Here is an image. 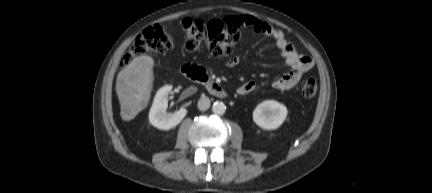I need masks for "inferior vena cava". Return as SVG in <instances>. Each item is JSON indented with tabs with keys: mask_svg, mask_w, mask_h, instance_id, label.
I'll use <instances>...</instances> for the list:
<instances>
[{
	"mask_svg": "<svg viewBox=\"0 0 432 193\" xmlns=\"http://www.w3.org/2000/svg\"><path fill=\"white\" fill-rule=\"evenodd\" d=\"M210 99L206 96H202L199 100H198V109L200 111H206L209 107H210Z\"/></svg>",
	"mask_w": 432,
	"mask_h": 193,
	"instance_id": "inferior-vena-cava-1",
	"label": "inferior vena cava"
}]
</instances>
